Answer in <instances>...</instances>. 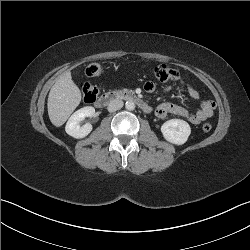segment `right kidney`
Here are the masks:
<instances>
[{
  "label": "right kidney",
  "mask_w": 250,
  "mask_h": 250,
  "mask_svg": "<svg viewBox=\"0 0 250 250\" xmlns=\"http://www.w3.org/2000/svg\"><path fill=\"white\" fill-rule=\"evenodd\" d=\"M94 114L95 109L91 106L83 107L74 112L67 121L65 127L66 133L77 139L86 137L92 131V125L90 123H86L85 125L80 126L79 123L85 117H92Z\"/></svg>",
  "instance_id": "1"
}]
</instances>
